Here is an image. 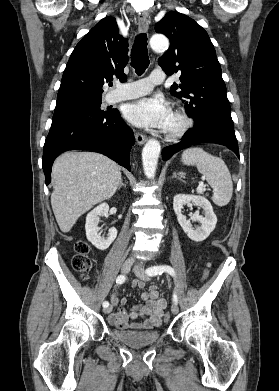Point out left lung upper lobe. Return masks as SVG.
Masks as SVG:
<instances>
[{
  "mask_svg": "<svg viewBox=\"0 0 279 391\" xmlns=\"http://www.w3.org/2000/svg\"><path fill=\"white\" fill-rule=\"evenodd\" d=\"M170 39V47L158 63L168 75L180 74L171 92L185 105L188 116L199 123L216 118L233 124L226 85L214 46L207 32L188 16L171 12L155 25Z\"/></svg>",
  "mask_w": 279,
  "mask_h": 391,
  "instance_id": "left-lung-upper-lobe-1",
  "label": "left lung upper lobe"
}]
</instances>
